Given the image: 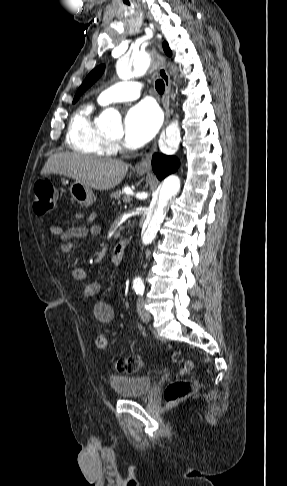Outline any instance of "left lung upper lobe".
<instances>
[{
	"mask_svg": "<svg viewBox=\"0 0 287 486\" xmlns=\"http://www.w3.org/2000/svg\"><path fill=\"white\" fill-rule=\"evenodd\" d=\"M163 49L165 51V53L169 56H171V50L170 48L168 47V44L167 42H164L163 43ZM104 65H100L98 67H96L95 69H93L90 74L85 78V80L83 81L82 85L79 87V89L77 90L76 92V95L74 97V100H73V103H75L79 97L95 82L97 81L100 76L102 75V73L104 72Z\"/></svg>",
	"mask_w": 287,
	"mask_h": 486,
	"instance_id": "1",
	"label": "left lung upper lobe"
}]
</instances>
